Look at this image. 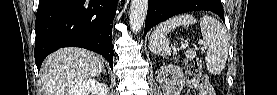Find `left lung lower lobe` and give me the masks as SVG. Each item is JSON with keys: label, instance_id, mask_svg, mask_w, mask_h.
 I'll return each mask as SVG.
<instances>
[{"label": "left lung lower lobe", "instance_id": "0a47b994", "mask_svg": "<svg viewBox=\"0 0 277 95\" xmlns=\"http://www.w3.org/2000/svg\"><path fill=\"white\" fill-rule=\"evenodd\" d=\"M197 10L212 11L224 19L223 7L219 0L199 1L198 4L186 3L184 0H148L144 34L153 26L174 15Z\"/></svg>", "mask_w": 277, "mask_h": 95}]
</instances>
